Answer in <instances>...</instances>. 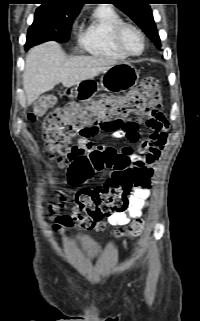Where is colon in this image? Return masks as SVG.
I'll return each mask as SVG.
<instances>
[{"label":"colon","mask_w":200,"mask_h":321,"mask_svg":"<svg viewBox=\"0 0 200 321\" xmlns=\"http://www.w3.org/2000/svg\"><path fill=\"white\" fill-rule=\"evenodd\" d=\"M56 98L46 95L40 98L28 119L41 117L55 105ZM161 104L160 84L155 78H146L125 96L103 95L93 100L73 103L46 115L44 139L52 158L59 164L69 163L66 177L73 187H80L91 176L102 170L112 174L102 186L79 188L75 204L67 219L87 231L104 229L103 218L127 206L128 195L140 185L141 179L131 162L115 153L101 151L72 154L70 138L74 135L94 136L118 126L131 114H148ZM144 222L134 221L126 230L116 233L137 236Z\"/></svg>","instance_id":"obj_1"}]
</instances>
